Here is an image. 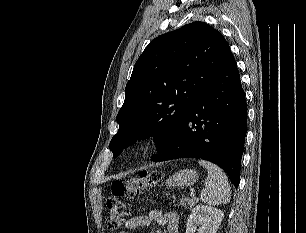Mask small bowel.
<instances>
[{"mask_svg": "<svg viewBox=\"0 0 306 233\" xmlns=\"http://www.w3.org/2000/svg\"><path fill=\"white\" fill-rule=\"evenodd\" d=\"M152 221L158 225L165 226L168 233H179L178 215L175 213H162L156 210L151 211L148 215H139L130 218L125 223L124 230L119 233H128V231L149 226ZM156 233H161V231H157Z\"/></svg>", "mask_w": 306, "mask_h": 233, "instance_id": "obj_1", "label": "small bowel"}]
</instances>
